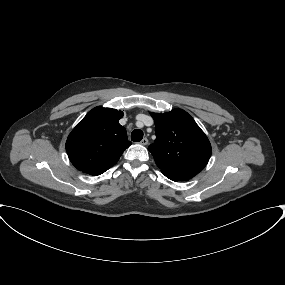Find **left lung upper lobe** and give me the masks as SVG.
Masks as SVG:
<instances>
[{
    "label": "left lung upper lobe",
    "mask_w": 285,
    "mask_h": 285,
    "mask_svg": "<svg viewBox=\"0 0 285 285\" xmlns=\"http://www.w3.org/2000/svg\"><path fill=\"white\" fill-rule=\"evenodd\" d=\"M156 139L148 149L166 177L189 180L208 163L211 145L194 119L184 110L151 114Z\"/></svg>",
    "instance_id": "1"
}]
</instances>
